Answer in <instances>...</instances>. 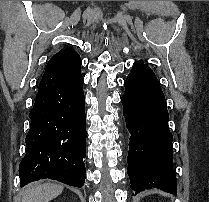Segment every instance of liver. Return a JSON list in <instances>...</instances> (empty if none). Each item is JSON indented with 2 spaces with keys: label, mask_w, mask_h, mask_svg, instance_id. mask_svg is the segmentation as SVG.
<instances>
[{
  "label": "liver",
  "mask_w": 209,
  "mask_h": 202,
  "mask_svg": "<svg viewBox=\"0 0 209 202\" xmlns=\"http://www.w3.org/2000/svg\"><path fill=\"white\" fill-rule=\"evenodd\" d=\"M63 191V186L54 183H33L21 192L22 202H49Z\"/></svg>",
  "instance_id": "obj_1"
}]
</instances>
